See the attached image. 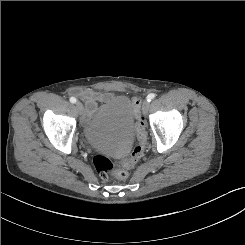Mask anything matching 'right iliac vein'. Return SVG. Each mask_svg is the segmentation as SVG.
I'll return each mask as SVG.
<instances>
[{
	"instance_id": "right-iliac-vein-1",
	"label": "right iliac vein",
	"mask_w": 245,
	"mask_h": 245,
	"mask_svg": "<svg viewBox=\"0 0 245 245\" xmlns=\"http://www.w3.org/2000/svg\"><path fill=\"white\" fill-rule=\"evenodd\" d=\"M76 108L80 114L83 113V104L81 102H76Z\"/></svg>"
}]
</instances>
